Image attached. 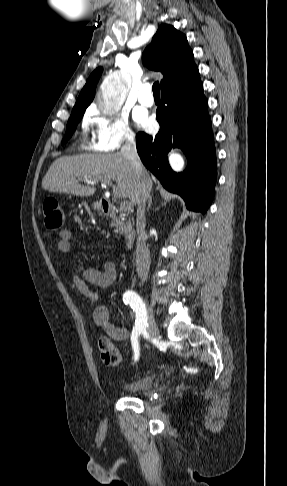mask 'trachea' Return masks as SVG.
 Here are the masks:
<instances>
[{"label": "trachea", "instance_id": "3493384b", "mask_svg": "<svg viewBox=\"0 0 287 486\" xmlns=\"http://www.w3.org/2000/svg\"><path fill=\"white\" fill-rule=\"evenodd\" d=\"M152 91L154 95H160V85L158 81L153 84Z\"/></svg>", "mask_w": 287, "mask_h": 486}]
</instances>
